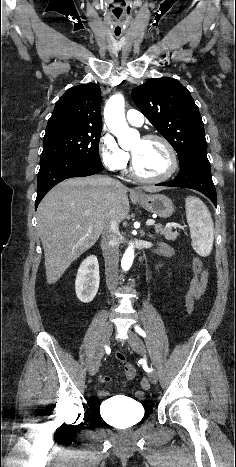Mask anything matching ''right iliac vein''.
I'll return each mask as SVG.
<instances>
[{
    "mask_svg": "<svg viewBox=\"0 0 236 467\" xmlns=\"http://www.w3.org/2000/svg\"><path fill=\"white\" fill-rule=\"evenodd\" d=\"M112 331H113L112 322L110 321L105 322L103 325L102 331H101L100 344H99V348L97 351V355L89 367V374L91 376L95 375L99 370L101 358L104 353V348L109 342Z\"/></svg>",
    "mask_w": 236,
    "mask_h": 467,
    "instance_id": "obj_1",
    "label": "right iliac vein"
}]
</instances>
